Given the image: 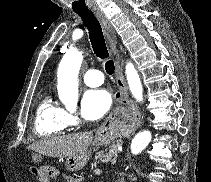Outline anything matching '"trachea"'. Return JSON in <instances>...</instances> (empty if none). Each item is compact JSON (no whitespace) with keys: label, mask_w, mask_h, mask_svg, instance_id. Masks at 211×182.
Returning a JSON list of instances; mask_svg holds the SVG:
<instances>
[{"label":"trachea","mask_w":211,"mask_h":182,"mask_svg":"<svg viewBox=\"0 0 211 182\" xmlns=\"http://www.w3.org/2000/svg\"><path fill=\"white\" fill-rule=\"evenodd\" d=\"M82 19L83 24L89 31V39L93 48L94 53L101 59L108 57V50L106 47L104 35L102 32L101 25L98 19L94 16L90 10L75 11ZM105 70L109 75H112L115 70L114 62L108 60L105 63Z\"/></svg>","instance_id":"obj_1"}]
</instances>
